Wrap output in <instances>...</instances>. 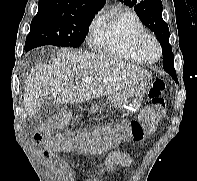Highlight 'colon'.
Instances as JSON below:
<instances>
[{"mask_svg":"<svg viewBox=\"0 0 197 181\" xmlns=\"http://www.w3.org/2000/svg\"><path fill=\"white\" fill-rule=\"evenodd\" d=\"M166 83L162 79H156L148 90L149 105L142 110L137 119L122 121L105 128H97L91 134L82 130L73 134L61 133L59 130L70 120L71 114L63 112L46 122L41 131L36 133L37 139L42 136L47 138L51 149H63L70 151L74 146L81 151L101 153L110 146L116 144L121 137L132 136L140 140L144 135L152 132L160 118L166 112V100L164 92Z\"/></svg>","mask_w":197,"mask_h":181,"instance_id":"colon-1","label":"colon"}]
</instances>
